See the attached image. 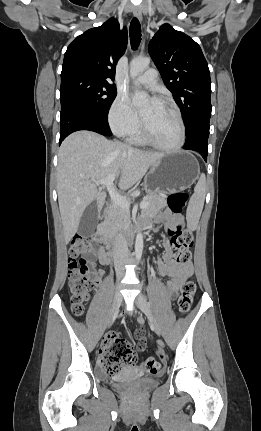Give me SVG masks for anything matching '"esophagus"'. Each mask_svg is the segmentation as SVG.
Masks as SVG:
<instances>
[{"instance_id":"esophagus-1","label":"esophagus","mask_w":261,"mask_h":431,"mask_svg":"<svg viewBox=\"0 0 261 431\" xmlns=\"http://www.w3.org/2000/svg\"><path fill=\"white\" fill-rule=\"evenodd\" d=\"M133 14L140 20V21H142V19H143V16H142V12H141V10H140V8H138V7H134L133 8Z\"/></svg>"}]
</instances>
